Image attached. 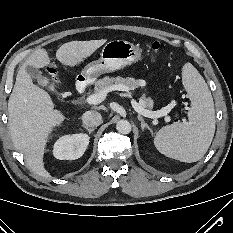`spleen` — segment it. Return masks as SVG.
Returning <instances> with one entry per match:
<instances>
[{"instance_id":"3e777b00","label":"spleen","mask_w":233,"mask_h":233,"mask_svg":"<svg viewBox=\"0 0 233 233\" xmlns=\"http://www.w3.org/2000/svg\"><path fill=\"white\" fill-rule=\"evenodd\" d=\"M182 81L191 100L189 122L162 127L156 133L154 145L167 157L191 163L200 160L211 145L215 133V109L205 80L191 63L184 64Z\"/></svg>"}]
</instances>
